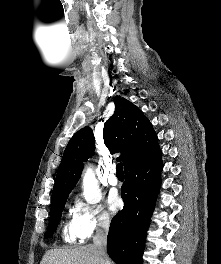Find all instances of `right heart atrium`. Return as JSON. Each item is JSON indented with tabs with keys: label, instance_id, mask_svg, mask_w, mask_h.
<instances>
[{
	"label": "right heart atrium",
	"instance_id": "1",
	"mask_svg": "<svg viewBox=\"0 0 221 264\" xmlns=\"http://www.w3.org/2000/svg\"><path fill=\"white\" fill-rule=\"evenodd\" d=\"M72 224L79 239H87L95 232L104 231L110 227L111 219L99 204L85 201L77 196L73 202Z\"/></svg>",
	"mask_w": 221,
	"mask_h": 264
}]
</instances>
